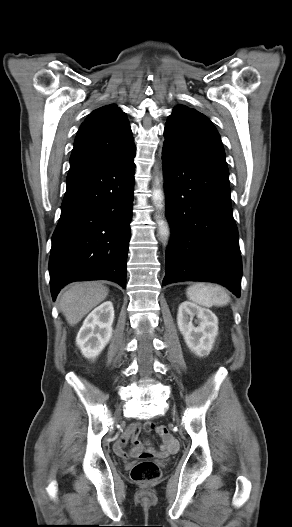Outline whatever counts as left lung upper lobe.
Returning a JSON list of instances; mask_svg holds the SVG:
<instances>
[{
    "mask_svg": "<svg viewBox=\"0 0 292 527\" xmlns=\"http://www.w3.org/2000/svg\"><path fill=\"white\" fill-rule=\"evenodd\" d=\"M164 146L188 157L226 165L223 145L212 122L202 113L177 106L164 130Z\"/></svg>",
    "mask_w": 292,
    "mask_h": 527,
    "instance_id": "obj_1",
    "label": "left lung upper lobe"
}]
</instances>
